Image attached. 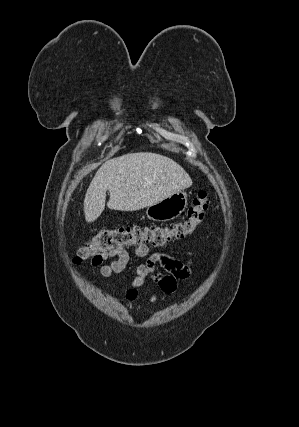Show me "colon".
I'll use <instances>...</instances> for the list:
<instances>
[{"label":"colon","mask_w":299,"mask_h":427,"mask_svg":"<svg viewBox=\"0 0 299 427\" xmlns=\"http://www.w3.org/2000/svg\"><path fill=\"white\" fill-rule=\"evenodd\" d=\"M209 206L210 199L207 193L200 191L188 209L186 220L182 222L168 226H128L103 229L93 235L78 250L73 261L75 264L85 261L95 264L129 246L147 244L159 247L171 241L182 239L193 233L203 223Z\"/></svg>","instance_id":"1"}]
</instances>
